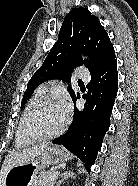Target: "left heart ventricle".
I'll list each match as a JSON object with an SVG mask.
<instances>
[{
    "mask_svg": "<svg viewBox=\"0 0 138 186\" xmlns=\"http://www.w3.org/2000/svg\"><path fill=\"white\" fill-rule=\"evenodd\" d=\"M66 113L59 104H49L37 111L28 119V130L39 136L58 131L65 123Z\"/></svg>",
    "mask_w": 138,
    "mask_h": 186,
    "instance_id": "obj_1",
    "label": "left heart ventricle"
}]
</instances>
